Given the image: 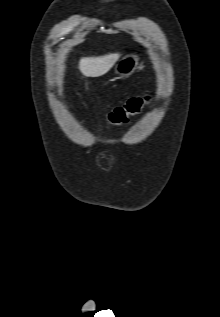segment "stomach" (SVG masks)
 <instances>
[{"label":"stomach","mask_w":220,"mask_h":317,"mask_svg":"<svg viewBox=\"0 0 220 317\" xmlns=\"http://www.w3.org/2000/svg\"><path fill=\"white\" fill-rule=\"evenodd\" d=\"M139 65V57L136 54H128L122 57L115 65L114 71L121 77H128L135 72Z\"/></svg>","instance_id":"stomach-1"}]
</instances>
